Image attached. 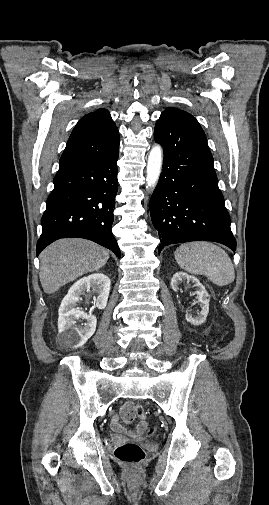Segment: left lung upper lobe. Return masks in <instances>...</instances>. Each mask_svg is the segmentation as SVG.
I'll use <instances>...</instances> for the list:
<instances>
[{
  "instance_id": "left-lung-upper-lobe-1",
  "label": "left lung upper lobe",
  "mask_w": 269,
  "mask_h": 505,
  "mask_svg": "<svg viewBox=\"0 0 269 505\" xmlns=\"http://www.w3.org/2000/svg\"><path fill=\"white\" fill-rule=\"evenodd\" d=\"M179 112H184L182 110H178L176 108H167L165 111H163L162 114H169V113H179ZM186 113V112H185Z\"/></svg>"
}]
</instances>
